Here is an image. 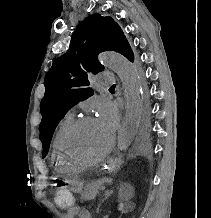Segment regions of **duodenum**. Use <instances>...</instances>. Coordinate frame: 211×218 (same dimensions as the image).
<instances>
[{
  "mask_svg": "<svg viewBox=\"0 0 211 218\" xmlns=\"http://www.w3.org/2000/svg\"><path fill=\"white\" fill-rule=\"evenodd\" d=\"M83 218H90L87 210H83Z\"/></svg>",
  "mask_w": 211,
  "mask_h": 218,
  "instance_id": "duodenum-1",
  "label": "duodenum"
}]
</instances>
